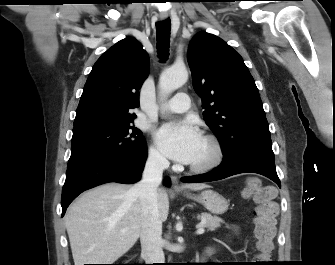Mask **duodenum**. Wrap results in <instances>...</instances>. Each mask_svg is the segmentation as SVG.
<instances>
[{
    "mask_svg": "<svg viewBox=\"0 0 335 265\" xmlns=\"http://www.w3.org/2000/svg\"><path fill=\"white\" fill-rule=\"evenodd\" d=\"M210 249H208L200 258L201 259H205L206 258V256L210 253Z\"/></svg>",
    "mask_w": 335,
    "mask_h": 265,
    "instance_id": "1",
    "label": "duodenum"
}]
</instances>
